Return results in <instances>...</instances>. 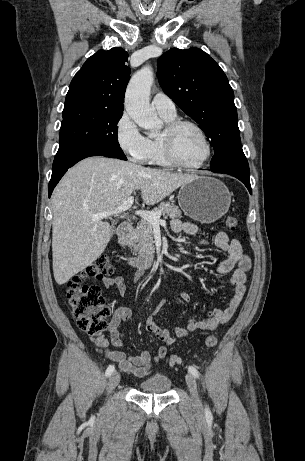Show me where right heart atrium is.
Returning <instances> with one entry per match:
<instances>
[{"label":"right heart atrium","instance_id":"obj_1","mask_svg":"<svg viewBox=\"0 0 305 461\" xmlns=\"http://www.w3.org/2000/svg\"><path fill=\"white\" fill-rule=\"evenodd\" d=\"M115 136L118 146L131 161L137 163L145 161L148 146L147 138L141 133L127 112H124L118 119Z\"/></svg>","mask_w":305,"mask_h":461}]
</instances>
